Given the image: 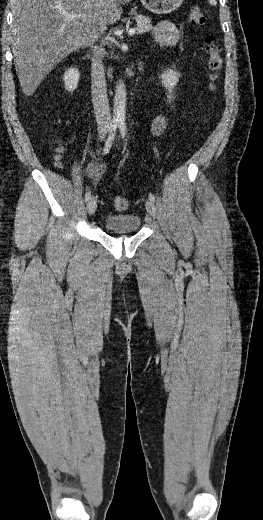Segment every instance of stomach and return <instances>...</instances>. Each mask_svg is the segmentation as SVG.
Masks as SVG:
<instances>
[{
	"mask_svg": "<svg viewBox=\"0 0 263 520\" xmlns=\"http://www.w3.org/2000/svg\"><path fill=\"white\" fill-rule=\"evenodd\" d=\"M184 0H141L142 5L154 14H168L178 9Z\"/></svg>",
	"mask_w": 263,
	"mask_h": 520,
	"instance_id": "stomach-1",
	"label": "stomach"
}]
</instances>
